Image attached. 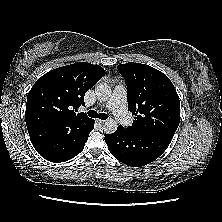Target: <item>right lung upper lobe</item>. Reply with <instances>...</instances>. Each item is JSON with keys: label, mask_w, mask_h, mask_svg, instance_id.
<instances>
[{"label": "right lung upper lobe", "mask_w": 222, "mask_h": 222, "mask_svg": "<svg viewBox=\"0 0 222 222\" xmlns=\"http://www.w3.org/2000/svg\"><path fill=\"white\" fill-rule=\"evenodd\" d=\"M105 75L87 62L60 67L40 77L27 96L25 121L34 147L56 138L84 133L93 119L76 114L84 95Z\"/></svg>", "instance_id": "cb5924a9"}]
</instances>
